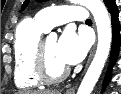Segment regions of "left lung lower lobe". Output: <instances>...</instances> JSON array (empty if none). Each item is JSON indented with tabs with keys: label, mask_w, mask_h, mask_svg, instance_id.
Instances as JSON below:
<instances>
[{
	"label": "left lung lower lobe",
	"mask_w": 121,
	"mask_h": 94,
	"mask_svg": "<svg viewBox=\"0 0 121 94\" xmlns=\"http://www.w3.org/2000/svg\"><path fill=\"white\" fill-rule=\"evenodd\" d=\"M108 11L111 15V23H112V32H113V38H112V48H111V54H110V65L106 74L105 82H108L110 80V71L112 66L115 64V61L118 57V52L120 48V24L118 20V9L116 6V3H113L111 6L107 7Z\"/></svg>",
	"instance_id": "1"
}]
</instances>
